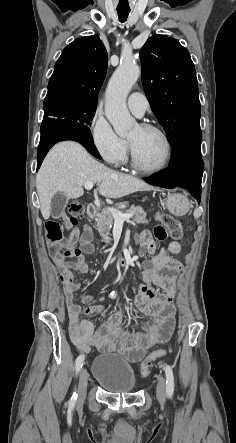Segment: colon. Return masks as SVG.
Listing matches in <instances>:
<instances>
[{
	"label": "colon",
	"mask_w": 236,
	"mask_h": 443,
	"mask_svg": "<svg viewBox=\"0 0 236 443\" xmlns=\"http://www.w3.org/2000/svg\"><path fill=\"white\" fill-rule=\"evenodd\" d=\"M68 221L70 225H77L78 219L84 214L82 204L78 202H72L67 207ZM157 219L160 225L155 228L154 235L158 240H164L170 237L174 241H181L184 237V231L182 224L173 216L159 212ZM47 238L49 242V252L51 256L57 262L64 261L67 257L79 256L81 251L79 248L71 247L63 250L62 241L64 239V226L57 221H48L46 224ZM77 234L72 233L71 239H76ZM170 352V349L163 348L157 349L146 356H139L138 354L130 355L131 359H137L141 361L140 373L142 376H147L152 363L166 356Z\"/></svg>",
	"instance_id": "1"
}]
</instances>
